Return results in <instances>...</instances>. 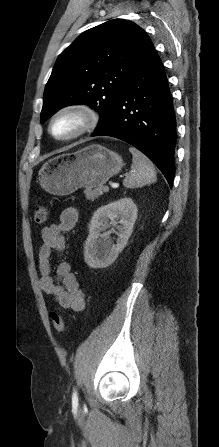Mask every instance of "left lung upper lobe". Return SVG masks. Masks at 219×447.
I'll use <instances>...</instances> for the list:
<instances>
[{
    "label": "left lung upper lobe",
    "instance_id": "obj_1",
    "mask_svg": "<svg viewBox=\"0 0 219 447\" xmlns=\"http://www.w3.org/2000/svg\"><path fill=\"white\" fill-rule=\"evenodd\" d=\"M150 42L143 29L122 19L85 31L53 67L45 86L41 122L65 106L89 104L100 110V125Z\"/></svg>",
    "mask_w": 219,
    "mask_h": 447
}]
</instances>
